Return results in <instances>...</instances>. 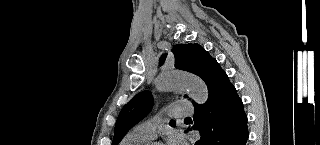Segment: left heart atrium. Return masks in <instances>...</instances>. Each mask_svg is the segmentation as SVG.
Returning a JSON list of instances; mask_svg holds the SVG:
<instances>
[{"label":"left heart atrium","mask_w":320,"mask_h":145,"mask_svg":"<svg viewBox=\"0 0 320 145\" xmlns=\"http://www.w3.org/2000/svg\"><path fill=\"white\" fill-rule=\"evenodd\" d=\"M169 145H184V139L180 134H172L169 138Z\"/></svg>","instance_id":"39dd6f15"}]
</instances>
